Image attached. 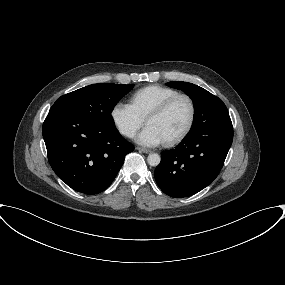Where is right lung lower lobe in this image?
Returning <instances> with one entry per match:
<instances>
[{"label": "right lung lower lobe", "instance_id": "right-lung-lower-lobe-1", "mask_svg": "<svg viewBox=\"0 0 285 285\" xmlns=\"http://www.w3.org/2000/svg\"><path fill=\"white\" fill-rule=\"evenodd\" d=\"M42 133L53 171L89 195L104 191L134 150L115 127L99 126L64 108L50 109Z\"/></svg>", "mask_w": 285, "mask_h": 285}]
</instances>
